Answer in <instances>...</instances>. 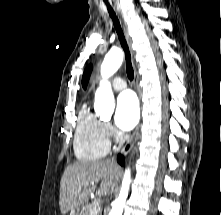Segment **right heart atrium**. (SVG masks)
I'll use <instances>...</instances> for the list:
<instances>
[{"instance_id":"obj_1","label":"right heart atrium","mask_w":221,"mask_h":215,"mask_svg":"<svg viewBox=\"0 0 221 215\" xmlns=\"http://www.w3.org/2000/svg\"><path fill=\"white\" fill-rule=\"evenodd\" d=\"M102 129H103V134L107 140L115 139L117 137V132L110 123L103 122Z\"/></svg>"}]
</instances>
